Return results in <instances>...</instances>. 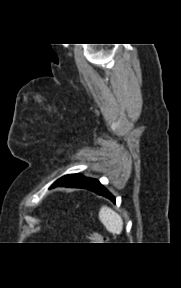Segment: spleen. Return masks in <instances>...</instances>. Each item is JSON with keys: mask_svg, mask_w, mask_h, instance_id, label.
<instances>
[{"mask_svg": "<svg viewBox=\"0 0 181 288\" xmlns=\"http://www.w3.org/2000/svg\"><path fill=\"white\" fill-rule=\"evenodd\" d=\"M99 219L105 228L113 234H121L123 230L122 217L110 207L102 206L99 211Z\"/></svg>", "mask_w": 181, "mask_h": 288, "instance_id": "spleen-1", "label": "spleen"}]
</instances>
